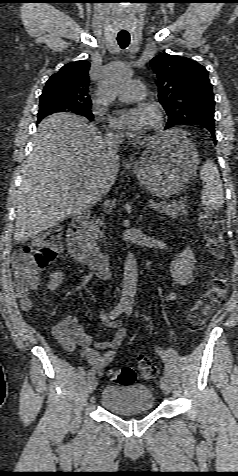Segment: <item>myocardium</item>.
I'll use <instances>...</instances> for the list:
<instances>
[{"mask_svg":"<svg viewBox=\"0 0 238 476\" xmlns=\"http://www.w3.org/2000/svg\"><path fill=\"white\" fill-rule=\"evenodd\" d=\"M149 108H151L152 113L154 115V122L152 124V128L157 129L162 124L163 114H162L161 110L158 107H156L155 105H149Z\"/></svg>","mask_w":238,"mask_h":476,"instance_id":"myocardium-1","label":"myocardium"}]
</instances>
